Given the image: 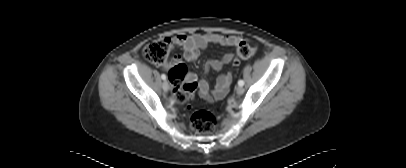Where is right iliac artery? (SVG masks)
<instances>
[{
    "label": "right iliac artery",
    "mask_w": 406,
    "mask_h": 168,
    "mask_svg": "<svg viewBox=\"0 0 406 168\" xmlns=\"http://www.w3.org/2000/svg\"><path fill=\"white\" fill-rule=\"evenodd\" d=\"M161 78H162L163 80H165V79H166V75H165V74H162V75H161Z\"/></svg>",
    "instance_id": "1"
}]
</instances>
